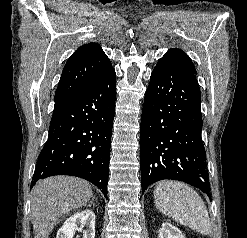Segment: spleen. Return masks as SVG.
I'll return each instance as SVG.
<instances>
[{"instance_id": "obj_1", "label": "spleen", "mask_w": 247, "mask_h": 238, "mask_svg": "<svg viewBox=\"0 0 247 238\" xmlns=\"http://www.w3.org/2000/svg\"><path fill=\"white\" fill-rule=\"evenodd\" d=\"M156 208L181 225L203 234L211 233L206 206L194 189L177 181H161L154 189Z\"/></svg>"}]
</instances>
